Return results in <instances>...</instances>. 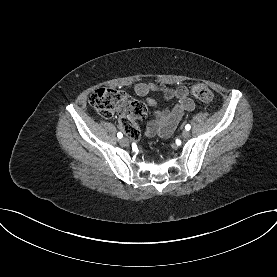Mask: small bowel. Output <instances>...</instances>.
<instances>
[{"mask_svg": "<svg viewBox=\"0 0 277 277\" xmlns=\"http://www.w3.org/2000/svg\"><path fill=\"white\" fill-rule=\"evenodd\" d=\"M134 92L141 97H146V103L150 106H156L157 100L149 97L150 93H161L166 100H177L176 105L172 109L155 110L152 113V120L145 128V135L152 137L155 135L168 137L177 127L185 112L195 109V102L188 96V88L179 86L170 88L163 84L139 82L133 87ZM139 129L136 136L139 137Z\"/></svg>", "mask_w": 277, "mask_h": 277, "instance_id": "small-bowel-1", "label": "small bowel"}]
</instances>
